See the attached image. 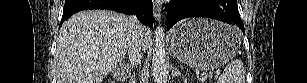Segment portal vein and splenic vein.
Segmentation results:
<instances>
[{
  "label": "portal vein and splenic vein",
  "mask_w": 307,
  "mask_h": 83,
  "mask_svg": "<svg viewBox=\"0 0 307 83\" xmlns=\"http://www.w3.org/2000/svg\"><path fill=\"white\" fill-rule=\"evenodd\" d=\"M218 75H219V72H216L215 77H218Z\"/></svg>",
  "instance_id": "portal-vein-and-splenic-vein-1"
}]
</instances>
